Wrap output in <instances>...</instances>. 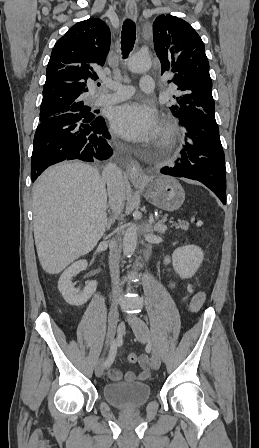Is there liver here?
Instances as JSON below:
<instances>
[{
  "label": "liver",
  "instance_id": "liver-1",
  "mask_svg": "<svg viewBox=\"0 0 259 448\" xmlns=\"http://www.w3.org/2000/svg\"><path fill=\"white\" fill-rule=\"evenodd\" d=\"M33 228L39 262L47 274L89 254L107 228V192L96 168L61 162L33 184Z\"/></svg>",
  "mask_w": 259,
  "mask_h": 448
}]
</instances>
